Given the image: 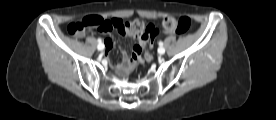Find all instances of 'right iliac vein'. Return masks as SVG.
I'll use <instances>...</instances> for the list:
<instances>
[{"instance_id": "1", "label": "right iliac vein", "mask_w": 276, "mask_h": 120, "mask_svg": "<svg viewBox=\"0 0 276 120\" xmlns=\"http://www.w3.org/2000/svg\"><path fill=\"white\" fill-rule=\"evenodd\" d=\"M99 51H102L104 49V45L103 44H98L97 46Z\"/></svg>"}]
</instances>
